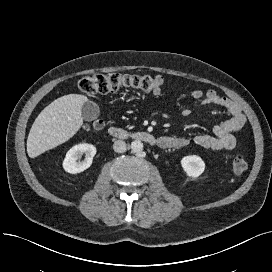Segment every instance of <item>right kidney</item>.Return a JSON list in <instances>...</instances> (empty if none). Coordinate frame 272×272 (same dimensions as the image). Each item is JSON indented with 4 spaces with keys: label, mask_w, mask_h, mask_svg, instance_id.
I'll return each mask as SVG.
<instances>
[{
    "label": "right kidney",
    "mask_w": 272,
    "mask_h": 272,
    "mask_svg": "<svg viewBox=\"0 0 272 272\" xmlns=\"http://www.w3.org/2000/svg\"><path fill=\"white\" fill-rule=\"evenodd\" d=\"M83 154H85V160L78 162ZM95 154L96 147L92 144L82 143L75 145L66 153L63 168L70 174L81 173L91 166Z\"/></svg>",
    "instance_id": "ca27d5eb"
}]
</instances>
